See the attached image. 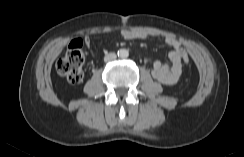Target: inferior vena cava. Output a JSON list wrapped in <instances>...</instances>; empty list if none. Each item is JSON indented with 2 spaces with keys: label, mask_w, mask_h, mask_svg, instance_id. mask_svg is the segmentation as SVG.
<instances>
[{
  "label": "inferior vena cava",
  "mask_w": 244,
  "mask_h": 157,
  "mask_svg": "<svg viewBox=\"0 0 244 157\" xmlns=\"http://www.w3.org/2000/svg\"><path fill=\"white\" fill-rule=\"evenodd\" d=\"M117 58L116 54L115 53H109L107 55H105L104 57V61L105 62H110V61H113Z\"/></svg>",
  "instance_id": "602c4592"
}]
</instances>
